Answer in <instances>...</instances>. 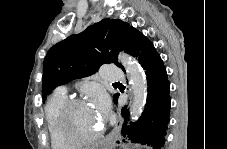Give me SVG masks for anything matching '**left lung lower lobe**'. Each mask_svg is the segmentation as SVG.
Listing matches in <instances>:
<instances>
[{"label": "left lung lower lobe", "mask_w": 227, "mask_h": 149, "mask_svg": "<svg viewBox=\"0 0 227 149\" xmlns=\"http://www.w3.org/2000/svg\"><path fill=\"white\" fill-rule=\"evenodd\" d=\"M127 53L136 57L144 68L149 94L144 112L134 124L131 122L130 126H127L129 109L122 108L121 114L125 118L122 134L126 140L133 143L151 144L154 149H160L165 142L164 136L169 123L171 107L170 83L166 68L153 43L136 29L129 37ZM118 96L119 94H116L114 98L115 103H117Z\"/></svg>", "instance_id": "obj_1"}]
</instances>
